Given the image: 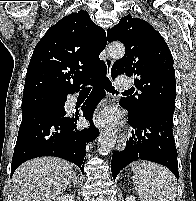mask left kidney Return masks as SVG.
I'll return each mask as SVG.
<instances>
[{"mask_svg": "<svg viewBox=\"0 0 196 201\" xmlns=\"http://www.w3.org/2000/svg\"><path fill=\"white\" fill-rule=\"evenodd\" d=\"M125 201H136V200H135V197L129 196V197H126Z\"/></svg>", "mask_w": 196, "mask_h": 201, "instance_id": "left-kidney-1", "label": "left kidney"}]
</instances>
